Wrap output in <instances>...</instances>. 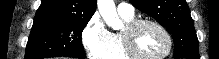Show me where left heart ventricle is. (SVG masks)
Here are the masks:
<instances>
[{"label": "left heart ventricle", "mask_w": 219, "mask_h": 59, "mask_svg": "<svg viewBox=\"0 0 219 59\" xmlns=\"http://www.w3.org/2000/svg\"><path fill=\"white\" fill-rule=\"evenodd\" d=\"M135 47L143 56L156 57L166 51L167 40L156 27L144 25L136 32Z\"/></svg>", "instance_id": "left-heart-ventricle-1"}]
</instances>
